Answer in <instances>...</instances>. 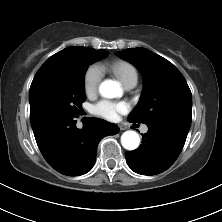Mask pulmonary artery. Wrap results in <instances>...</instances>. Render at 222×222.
<instances>
[{
	"label": "pulmonary artery",
	"instance_id": "pulmonary-artery-1",
	"mask_svg": "<svg viewBox=\"0 0 222 222\" xmlns=\"http://www.w3.org/2000/svg\"><path fill=\"white\" fill-rule=\"evenodd\" d=\"M134 87V85H127V86H125V88L127 89V90H130V89H132ZM148 131V128L146 127V126H144V127H142V132L143 133H146Z\"/></svg>",
	"mask_w": 222,
	"mask_h": 222
}]
</instances>
